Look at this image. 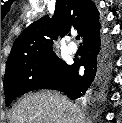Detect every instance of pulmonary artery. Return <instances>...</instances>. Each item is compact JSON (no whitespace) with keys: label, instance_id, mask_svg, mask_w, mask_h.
<instances>
[{"label":"pulmonary artery","instance_id":"e3ab8cb5","mask_svg":"<svg viewBox=\"0 0 122 123\" xmlns=\"http://www.w3.org/2000/svg\"><path fill=\"white\" fill-rule=\"evenodd\" d=\"M78 48L75 43L70 42L67 46V51L69 54H75L77 52Z\"/></svg>","mask_w":122,"mask_h":123}]
</instances>
